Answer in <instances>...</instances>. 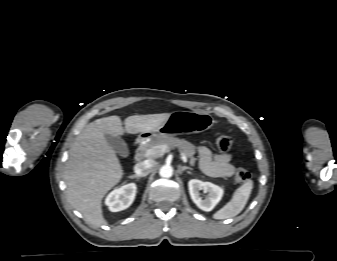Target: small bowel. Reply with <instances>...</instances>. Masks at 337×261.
Wrapping results in <instances>:
<instances>
[{"mask_svg": "<svg viewBox=\"0 0 337 261\" xmlns=\"http://www.w3.org/2000/svg\"><path fill=\"white\" fill-rule=\"evenodd\" d=\"M199 165L201 170L213 177H230L235 170L230 154H217L205 146L198 148Z\"/></svg>", "mask_w": 337, "mask_h": 261, "instance_id": "obj_1", "label": "small bowel"}]
</instances>
